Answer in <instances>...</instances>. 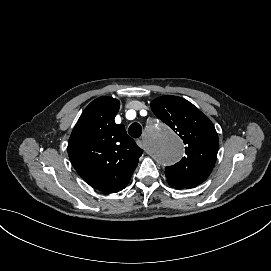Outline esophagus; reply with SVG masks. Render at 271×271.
<instances>
[{
    "mask_svg": "<svg viewBox=\"0 0 271 271\" xmlns=\"http://www.w3.org/2000/svg\"><path fill=\"white\" fill-rule=\"evenodd\" d=\"M136 142H137V144L140 146V147H142L143 146V143L145 142V139L142 137V136H139L137 139H136ZM147 153L149 154V155H152L153 154V152L152 151H147Z\"/></svg>",
    "mask_w": 271,
    "mask_h": 271,
    "instance_id": "obj_1",
    "label": "esophagus"
}]
</instances>
